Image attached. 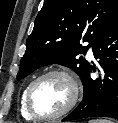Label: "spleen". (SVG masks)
<instances>
[{"mask_svg": "<svg viewBox=\"0 0 118 123\" xmlns=\"http://www.w3.org/2000/svg\"><path fill=\"white\" fill-rule=\"evenodd\" d=\"M89 123H113V122L107 119H96V120H90Z\"/></svg>", "mask_w": 118, "mask_h": 123, "instance_id": "3e777b00", "label": "spleen"}]
</instances>
